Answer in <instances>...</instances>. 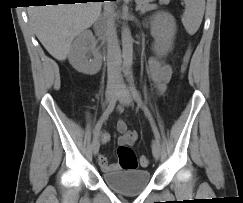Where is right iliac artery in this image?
<instances>
[{
	"mask_svg": "<svg viewBox=\"0 0 243 203\" xmlns=\"http://www.w3.org/2000/svg\"><path fill=\"white\" fill-rule=\"evenodd\" d=\"M117 96H115L109 103L108 107L104 111L103 115L101 116L98 124L95 127L94 133H93V138H97L99 136V131L101 129V126L103 122L109 117L110 113L114 110V107L117 103Z\"/></svg>",
	"mask_w": 243,
	"mask_h": 203,
	"instance_id": "right-iliac-artery-1",
	"label": "right iliac artery"
}]
</instances>
